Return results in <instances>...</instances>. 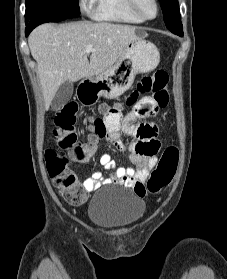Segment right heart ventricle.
I'll list each match as a JSON object with an SVG mask.
<instances>
[{"instance_id": "right-heart-ventricle-1", "label": "right heart ventricle", "mask_w": 227, "mask_h": 279, "mask_svg": "<svg viewBox=\"0 0 227 279\" xmlns=\"http://www.w3.org/2000/svg\"><path fill=\"white\" fill-rule=\"evenodd\" d=\"M91 16L99 21L137 24L141 20L132 10L129 0H89Z\"/></svg>"}]
</instances>
